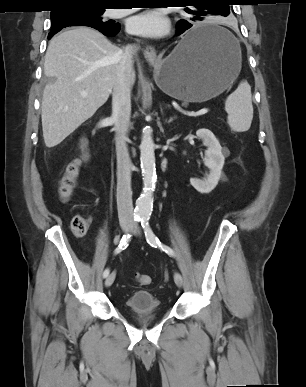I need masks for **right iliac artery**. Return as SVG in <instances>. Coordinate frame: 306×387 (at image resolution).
<instances>
[{"label": "right iliac artery", "mask_w": 306, "mask_h": 387, "mask_svg": "<svg viewBox=\"0 0 306 387\" xmlns=\"http://www.w3.org/2000/svg\"><path fill=\"white\" fill-rule=\"evenodd\" d=\"M140 219H135V221H139ZM131 239V234H125L123 235L121 241H120V244L118 245V247L115 249L114 253L115 254H118L120 253L121 251H123L127 246H128V243ZM109 269H106L104 272H103V277L106 278L108 275H109Z\"/></svg>", "instance_id": "right-iliac-artery-1"}]
</instances>
